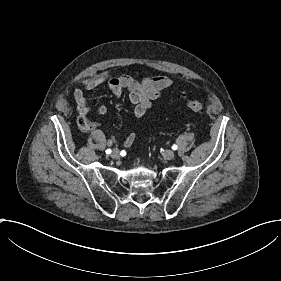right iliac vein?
<instances>
[{"mask_svg": "<svg viewBox=\"0 0 281 281\" xmlns=\"http://www.w3.org/2000/svg\"><path fill=\"white\" fill-rule=\"evenodd\" d=\"M111 157H112L113 159H118V158L120 157V152H119L118 150H113V151L111 152Z\"/></svg>", "mask_w": 281, "mask_h": 281, "instance_id": "obj_1", "label": "right iliac vein"}]
</instances>
